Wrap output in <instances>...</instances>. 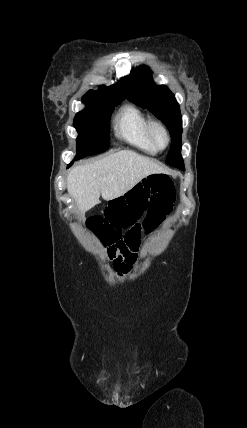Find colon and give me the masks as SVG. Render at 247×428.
Instances as JSON below:
<instances>
[{"instance_id":"obj_1","label":"colon","mask_w":247,"mask_h":428,"mask_svg":"<svg viewBox=\"0 0 247 428\" xmlns=\"http://www.w3.org/2000/svg\"><path fill=\"white\" fill-rule=\"evenodd\" d=\"M174 198L172 180L165 175H151L128 194L109 199V204L102 205V212H91L88 222L94 226L99 245L107 247L110 259L120 254L131 256L138 247L141 226L152 229L171 210ZM121 232H126L123 237Z\"/></svg>"}]
</instances>
